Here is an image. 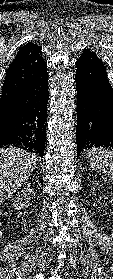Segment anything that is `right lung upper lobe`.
<instances>
[{
  "label": "right lung upper lobe",
  "mask_w": 113,
  "mask_h": 279,
  "mask_svg": "<svg viewBox=\"0 0 113 279\" xmlns=\"http://www.w3.org/2000/svg\"><path fill=\"white\" fill-rule=\"evenodd\" d=\"M47 67L41 47L32 43L22 46L6 72L0 97L2 110L41 70Z\"/></svg>",
  "instance_id": "cb5924a9"
}]
</instances>
